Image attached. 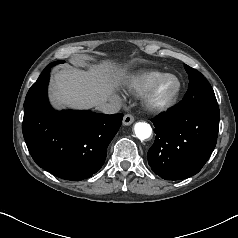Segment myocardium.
I'll use <instances>...</instances> for the list:
<instances>
[{"label": "myocardium", "instance_id": "myocardium-1", "mask_svg": "<svg viewBox=\"0 0 238 238\" xmlns=\"http://www.w3.org/2000/svg\"><path fill=\"white\" fill-rule=\"evenodd\" d=\"M166 78H173L177 82L175 91L166 99H158L156 96L159 84ZM181 79L173 73H164L156 78L142 96V105L150 113H162L171 109L178 101L182 91Z\"/></svg>", "mask_w": 238, "mask_h": 238}]
</instances>
